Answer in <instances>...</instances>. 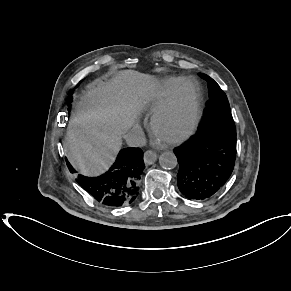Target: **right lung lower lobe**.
<instances>
[{"mask_svg": "<svg viewBox=\"0 0 291 291\" xmlns=\"http://www.w3.org/2000/svg\"><path fill=\"white\" fill-rule=\"evenodd\" d=\"M72 173L76 171L67 163ZM145 168L140 148L120 151L115 163L103 175L90 178L78 175L77 183L100 204L121 207L133 203L139 195V181Z\"/></svg>", "mask_w": 291, "mask_h": 291, "instance_id": "98d812e1", "label": "right lung lower lobe"}]
</instances>
